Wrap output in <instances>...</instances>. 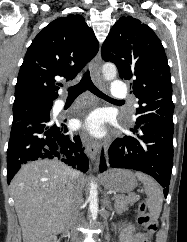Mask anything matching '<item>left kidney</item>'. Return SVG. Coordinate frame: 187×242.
Wrapping results in <instances>:
<instances>
[{
	"label": "left kidney",
	"instance_id": "left-kidney-1",
	"mask_svg": "<svg viewBox=\"0 0 187 242\" xmlns=\"http://www.w3.org/2000/svg\"><path fill=\"white\" fill-rule=\"evenodd\" d=\"M134 230L135 227L133 225H129L127 228L123 229L119 235L120 242H131Z\"/></svg>",
	"mask_w": 187,
	"mask_h": 242
}]
</instances>
